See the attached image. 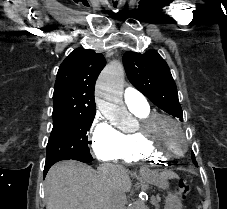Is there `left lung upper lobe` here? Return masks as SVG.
Here are the masks:
<instances>
[{
	"label": "left lung upper lobe",
	"mask_w": 227,
	"mask_h": 209,
	"mask_svg": "<svg viewBox=\"0 0 227 209\" xmlns=\"http://www.w3.org/2000/svg\"><path fill=\"white\" fill-rule=\"evenodd\" d=\"M123 64L130 82L156 106L168 114L183 118L176 84L165 60L155 51L144 54L128 51ZM192 160L197 164L192 153Z\"/></svg>",
	"instance_id": "5c2ea615"
}]
</instances>
